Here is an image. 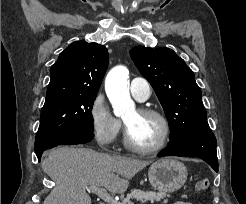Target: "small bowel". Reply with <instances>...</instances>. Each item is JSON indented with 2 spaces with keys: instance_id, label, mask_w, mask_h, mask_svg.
Wrapping results in <instances>:
<instances>
[{
  "instance_id": "1",
  "label": "small bowel",
  "mask_w": 246,
  "mask_h": 204,
  "mask_svg": "<svg viewBox=\"0 0 246 204\" xmlns=\"http://www.w3.org/2000/svg\"><path fill=\"white\" fill-rule=\"evenodd\" d=\"M173 204H192V203H189V202H183V201H178V202H175Z\"/></svg>"
}]
</instances>
